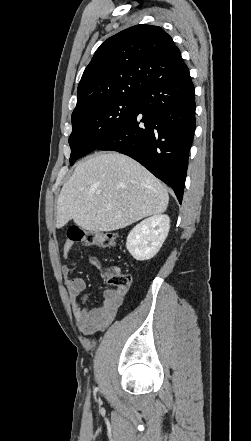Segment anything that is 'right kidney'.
<instances>
[{
	"mask_svg": "<svg viewBox=\"0 0 251 441\" xmlns=\"http://www.w3.org/2000/svg\"><path fill=\"white\" fill-rule=\"evenodd\" d=\"M170 228V218L157 214L137 224L128 234L126 248L134 259L145 261L160 250Z\"/></svg>",
	"mask_w": 251,
	"mask_h": 441,
	"instance_id": "obj_1",
	"label": "right kidney"
}]
</instances>
